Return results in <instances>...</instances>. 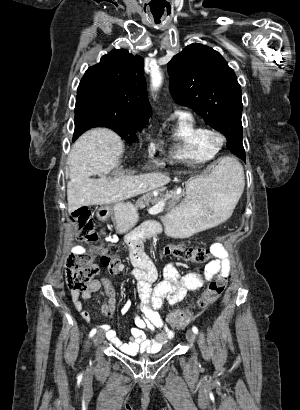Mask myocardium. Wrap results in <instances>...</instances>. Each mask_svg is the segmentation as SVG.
<instances>
[{"label": "myocardium", "mask_w": 300, "mask_h": 410, "mask_svg": "<svg viewBox=\"0 0 300 410\" xmlns=\"http://www.w3.org/2000/svg\"><path fill=\"white\" fill-rule=\"evenodd\" d=\"M206 141L209 146L216 150H219L226 144L227 137L222 131L218 129H208L206 134Z\"/></svg>", "instance_id": "f54148a6"}]
</instances>
